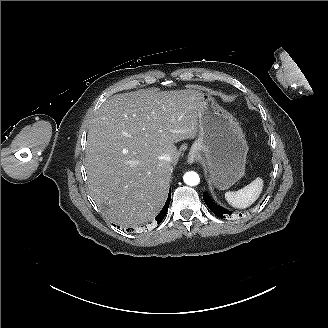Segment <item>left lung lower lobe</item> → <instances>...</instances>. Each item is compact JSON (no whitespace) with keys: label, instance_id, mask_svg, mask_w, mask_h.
Segmentation results:
<instances>
[{"label":"left lung lower lobe","instance_id":"1","mask_svg":"<svg viewBox=\"0 0 328 328\" xmlns=\"http://www.w3.org/2000/svg\"><path fill=\"white\" fill-rule=\"evenodd\" d=\"M203 199L206 203V205L208 206V208L218 217L220 218H226V216H231L232 212L224 209L223 207H220L218 205H216L210 198L209 196L204 193L203 194ZM241 215V214H240Z\"/></svg>","mask_w":328,"mask_h":328}]
</instances>
